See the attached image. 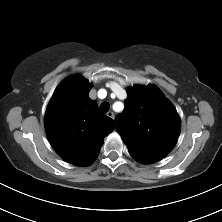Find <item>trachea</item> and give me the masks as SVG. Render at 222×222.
Returning a JSON list of instances; mask_svg holds the SVG:
<instances>
[{
  "label": "trachea",
  "instance_id": "3493384b",
  "mask_svg": "<svg viewBox=\"0 0 222 222\" xmlns=\"http://www.w3.org/2000/svg\"><path fill=\"white\" fill-rule=\"evenodd\" d=\"M109 108H110L109 103L103 102V103L100 105V107H99V111H100L101 113H106V112L109 110Z\"/></svg>",
  "mask_w": 222,
  "mask_h": 222
}]
</instances>
